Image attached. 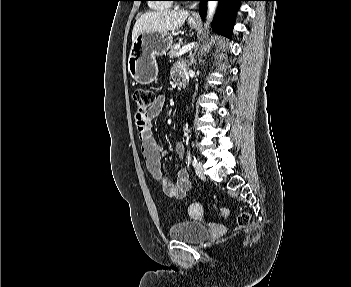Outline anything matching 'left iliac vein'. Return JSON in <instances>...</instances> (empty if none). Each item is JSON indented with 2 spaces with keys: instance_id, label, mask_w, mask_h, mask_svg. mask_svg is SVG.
Returning a JSON list of instances; mask_svg holds the SVG:
<instances>
[{
  "instance_id": "left-iliac-vein-1",
  "label": "left iliac vein",
  "mask_w": 351,
  "mask_h": 287,
  "mask_svg": "<svg viewBox=\"0 0 351 287\" xmlns=\"http://www.w3.org/2000/svg\"><path fill=\"white\" fill-rule=\"evenodd\" d=\"M195 172L196 175L200 178L204 177V169H203V163L202 162H197L195 165Z\"/></svg>"
}]
</instances>
